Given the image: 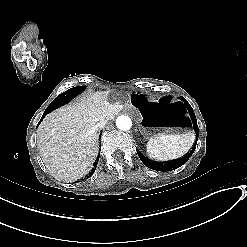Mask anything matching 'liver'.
I'll list each match as a JSON object with an SVG mask.
<instances>
[{
	"mask_svg": "<svg viewBox=\"0 0 247 247\" xmlns=\"http://www.w3.org/2000/svg\"><path fill=\"white\" fill-rule=\"evenodd\" d=\"M122 109L109 91H102L87 93L45 116L37 129V147L50 175L65 182L86 175L98 155L95 125L102 120L108 123Z\"/></svg>",
	"mask_w": 247,
	"mask_h": 247,
	"instance_id": "liver-1",
	"label": "liver"
}]
</instances>
